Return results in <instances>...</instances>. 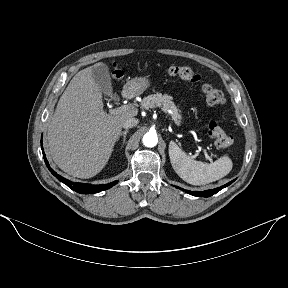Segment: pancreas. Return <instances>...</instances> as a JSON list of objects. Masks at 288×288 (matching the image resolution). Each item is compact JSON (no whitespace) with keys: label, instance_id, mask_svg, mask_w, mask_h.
<instances>
[{"label":"pancreas","instance_id":"cf45deb5","mask_svg":"<svg viewBox=\"0 0 288 288\" xmlns=\"http://www.w3.org/2000/svg\"><path fill=\"white\" fill-rule=\"evenodd\" d=\"M141 107L145 109L159 107L163 111L171 114V117L175 121V123L177 124L180 123L181 119V115L179 113L180 111L172 101L171 96H168L166 94L162 95L161 93L148 95L147 97L143 98Z\"/></svg>","mask_w":288,"mask_h":288}]
</instances>
